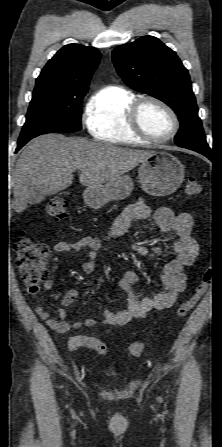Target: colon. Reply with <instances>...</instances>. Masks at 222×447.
<instances>
[{
    "instance_id": "obj_1",
    "label": "colon",
    "mask_w": 222,
    "mask_h": 447,
    "mask_svg": "<svg viewBox=\"0 0 222 447\" xmlns=\"http://www.w3.org/2000/svg\"><path fill=\"white\" fill-rule=\"evenodd\" d=\"M201 185L196 178H189L185 185L187 196L193 197L201 193ZM68 202L64 197H56L49 200L44 207L45 213L54 220H62L67 215ZM16 252V266L20 279L25 284L27 291L31 295H36L42 285L51 280V272L48 266L51 257V251L47 244L34 241L20 231L13 241ZM214 275L212 266H206L200 275V280L193 294L181 302L177 308V316L184 317L199 302L202 295L210 285ZM93 350L99 354L108 352L107 346L95 340L92 343ZM142 342H133L128 347V352L132 357H139L143 351Z\"/></svg>"
}]
</instances>
